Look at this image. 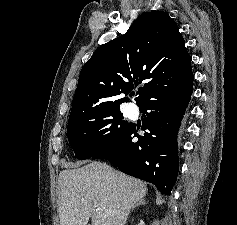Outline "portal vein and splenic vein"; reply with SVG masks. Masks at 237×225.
<instances>
[{"mask_svg":"<svg viewBox=\"0 0 237 225\" xmlns=\"http://www.w3.org/2000/svg\"><path fill=\"white\" fill-rule=\"evenodd\" d=\"M94 206H95V207H97V206H98V204L95 202V203H94Z\"/></svg>","mask_w":237,"mask_h":225,"instance_id":"obj_1","label":"portal vein and splenic vein"}]
</instances>
